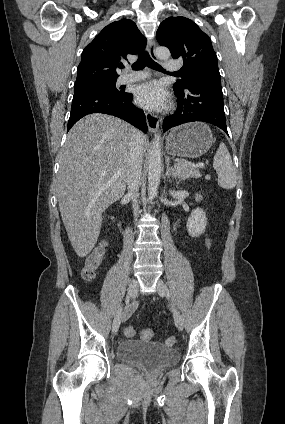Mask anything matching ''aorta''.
<instances>
[{
    "label": "aorta",
    "mask_w": 285,
    "mask_h": 424,
    "mask_svg": "<svg viewBox=\"0 0 285 424\" xmlns=\"http://www.w3.org/2000/svg\"><path fill=\"white\" fill-rule=\"evenodd\" d=\"M155 56L161 60H168L170 58V51L166 47H158L155 50ZM161 135L156 133L150 148L148 160V197L153 200L157 194L158 186L161 178Z\"/></svg>",
    "instance_id": "1"
}]
</instances>
